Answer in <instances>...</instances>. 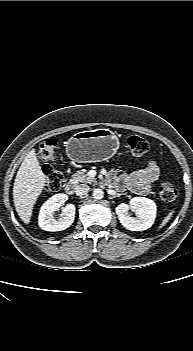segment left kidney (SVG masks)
I'll use <instances>...</instances> for the list:
<instances>
[{
  "label": "left kidney",
  "instance_id": "1",
  "mask_svg": "<svg viewBox=\"0 0 193 351\" xmlns=\"http://www.w3.org/2000/svg\"><path fill=\"white\" fill-rule=\"evenodd\" d=\"M132 208L137 217H131L128 213ZM120 223L130 231H143L150 228L156 218V204L153 200L145 197H134L130 200L129 205L119 204L115 208Z\"/></svg>",
  "mask_w": 193,
  "mask_h": 351
}]
</instances>
